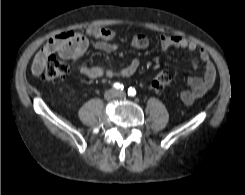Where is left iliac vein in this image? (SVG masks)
Segmentation results:
<instances>
[{
  "mask_svg": "<svg viewBox=\"0 0 245 195\" xmlns=\"http://www.w3.org/2000/svg\"><path fill=\"white\" fill-rule=\"evenodd\" d=\"M117 96L123 97L125 96V93L123 91H117Z\"/></svg>",
  "mask_w": 245,
  "mask_h": 195,
  "instance_id": "obj_1",
  "label": "left iliac vein"
}]
</instances>
